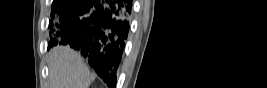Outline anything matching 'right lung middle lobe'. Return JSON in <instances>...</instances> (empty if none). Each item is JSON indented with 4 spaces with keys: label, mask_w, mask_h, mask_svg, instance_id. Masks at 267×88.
<instances>
[{
    "label": "right lung middle lobe",
    "mask_w": 267,
    "mask_h": 88,
    "mask_svg": "<svg viewBox=\"0 0 267 88\" xmlns=\"http://www.w3.org/2000/svg\"><path fill=\"white\" fill-rule=\"evenodd\" d=\"M70 1L71 0H54L52 3L51 15L62 11L64 8H66L69 5Z\"/></svg>",
    "instance_id": "obj_1"
}]
</instances>
